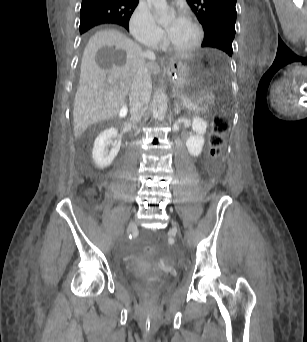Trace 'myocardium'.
I'll list each match as a JSON object with an SVG mask.
<instances>
[{"label":"myocardium","mask_w":307,"mask_h":342,"mask_svg":"<svg viewBox=\"0 0 307 342\" xmlns=\"http://www.w3.org/2000/svg\"><path fill=\"white\" fill-rule=\"evenodd\" d=\"M184 22L188 23L194 30L195 32V39L193 42L186 48L184 49H179V50H173L169 48L168 44H164L163 49L167 52H170L175 55H184V54H189L198 49L203 41H204V29L202 25L194 18H185Z\"/></svg>","instance_id":"1"}]
</instances>
